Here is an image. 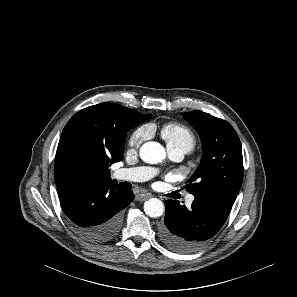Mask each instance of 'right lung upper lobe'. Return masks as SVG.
<instances>
[{
	"label": "right lung upper lobe",
	"instance_id": "right-lung-upper-lobe-1",
	"mask_svg": "<svg viewBox=\"0 0 297 297\" xmlns=\"http://www.w3.org/2000/svg\"><path fill=\"white\" fill-rule=\"evenodd\" d=\"M114 103L78 111L62 132L55 160L58 191L82 178L111 180L109 167L123 159L126 133L136 120L151 118Z\"/></svg>",
	"mask_w": 297,
	"mask_h": 297
}]
</instances>
